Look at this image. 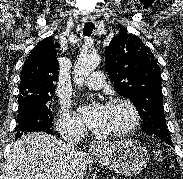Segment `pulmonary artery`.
I'll return each mask as SVG.
<instances>
[{
	"mask_svg": "<svg viewBox=\"0 0 183 179\" xmlns=\"http://www.w3.org/2000/svg\"><path fill=\"white\" fill-rule=\"evenodd\" d=\"M105 83L104 74L100 71L92 73L84 82L89 89L97 90L103 87Z\"/></svg>",
	"mask_w": 183,
	"mask_h": 179,
	"instance_id": "pulmonary-artery-1",
	"label": "pulmonary artery"
}]
</instances>
